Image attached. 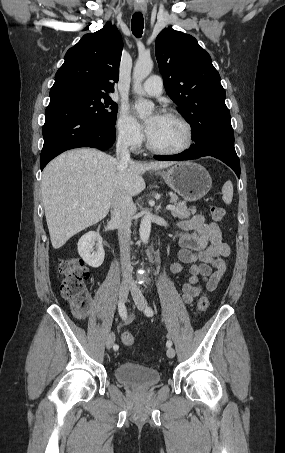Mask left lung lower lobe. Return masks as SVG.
I'll return each instance as SVG.
<instances>
[{
    "instance_id": "obj_1",
    "label": "left lung lower lobe",
    "mask_w": 285,
    "mask_h": 453,
    "mask_svg": "<svg viewBox=\"0 0 285 453\" xmlns=\"http://www.w3.org/2000/svg\"><path fill=\"white\" fill-rule=\"evenodd\" d=\"M188 151L171 156H154L157 160H191L202 156H212L227 164L240 177L239 158L234 148L233 129H214L199 138L193 139Z\"/></svg>"
}]
</instances>
